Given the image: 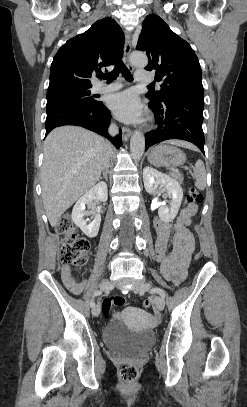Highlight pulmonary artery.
<instances>
[{
  "label": "pulmonary artery",
  "instance_id": "1",
  "mask_svg": "<svg viewBox=\"0 0 247 407\" xmlns=\"http://www.w3.org/2000/svg\"><path fill=\"white\" fill-rule=\"evenodd\" d=\"M135 80L139 83H150L153 81V77L149 72L137 70L135 72ZM122 87L119 82H114L111 84L97 83L94 86V91L97 93H105L118 90Z\"/></svg>",
  "mask_w": 247,
  "mask_h": 407
}]
</instances>
